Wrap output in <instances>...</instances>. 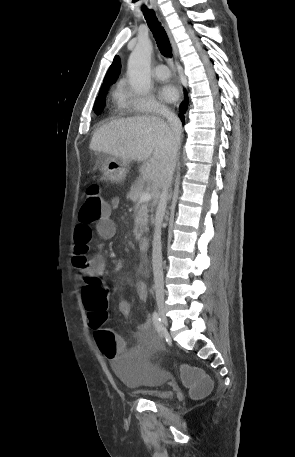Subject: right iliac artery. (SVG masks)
<instances>
[{
    "mask_svg": "<svg viewBox=\"0 0 295 457\" xmlns=\"http://www.w3.org/2000/svg\"><path fill=\"white\" fill-rule=\"evenodd\" d=\"M152 319H153V324L157 330V332L160 334V336L162 337V334H163V325L161 323V318L159 316V314L155 311L152 315Z\"/></svg>",
    "mask_w": 295,
    "mask_h": 457,
    "instance_id": "82829eb1",
    "label": "right iliac artery"
}]
</instances>
